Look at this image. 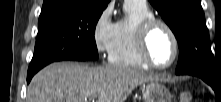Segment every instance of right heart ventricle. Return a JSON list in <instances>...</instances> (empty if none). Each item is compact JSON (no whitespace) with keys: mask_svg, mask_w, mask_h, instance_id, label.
<instances>
[{"mask_svg":"<svg viewBox=\"0 0 221 102\" xmlns=\"http://www.w3.org/2000/svg\"><path fill=\"white\" fill-rule=\"evenodd\" d=\"M125 14L115 23V33L109 62L113 65L133 68H148L140 59L136 48V33L139 25L154 14L147 4L126 1Z\"/></svg>","mask_w":221,"mask_h":102,"instance_id":"obj_1","label":"right heart ventricle"}]
</instances>
